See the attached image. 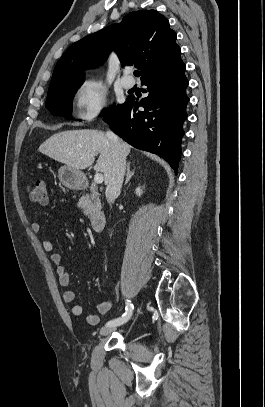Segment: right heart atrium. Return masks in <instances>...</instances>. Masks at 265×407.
Returning a JSON list of instances; mask_svg holds the SVG:
<instances>
[{
    "label": "right heart atrium",
    "instance_id": "right-heart-atrium-1",
    "mask_svg": "<svg viewBox=\"0 0 265 407\" xmlns=\"http://www.w3.org/2000/svg\"><path fill=\"white\" fill-rule=\"evenodd\" d=\"M75 116L80 123L101 119L107 110V92L98 82L84 81L75 91Z\"/></svg>",
    "mask_w": 265,
    "mask_h": 407
}]
</instances>
